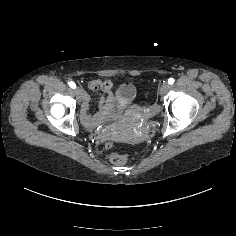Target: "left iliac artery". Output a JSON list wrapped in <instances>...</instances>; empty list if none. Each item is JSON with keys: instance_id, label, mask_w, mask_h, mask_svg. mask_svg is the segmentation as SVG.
Returning <instances> with one entry per match:
<instances>
[{"instance_id": "1", "label": "left iliac artery", "mask_w": 236, "mask_h": 236, "mask_svg": "<svg viewBox=\"0 0 236 236\" xmlns=\"http://www.w3.org/2000/svg\"><path fill=\"white\" fill-rule=\"evenodd\" d=\"M174 81H175V80H174L173 78H169V79H168V83H169V84H173Z\"/></svg>"}]
</instances>
